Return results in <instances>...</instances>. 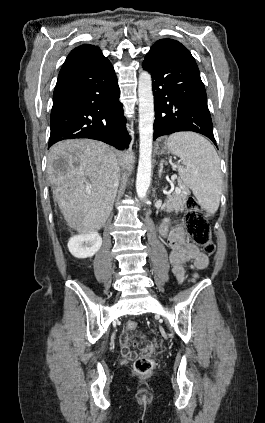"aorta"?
<instances>
[{
	"label": "aorta",
	"mask_w": 265,
	"mask_h": 423,
	"mask_svg": "<svg viewBox=\"0 0 265 423\" xmlns=\"http://www.w3.org/2000/svg\"><path fill=\"white\" fill-rule=\"evenodd\" d=\"M139 97V163L136 178V191L143 200L151 181L152 142L154 123V97L152 92V78L149 72L142 71L138 81Z\"/></svg>",
	"instance_id": "1"
}]
</instances>
